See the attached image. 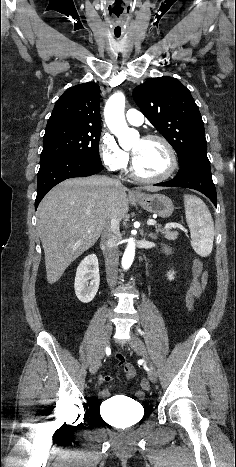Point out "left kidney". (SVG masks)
Returning <instances> with one entry per match:
<instances>
[{"mask_svg":"<svg viewBox=\"0 0 236 467\" xmlns=\"http://www.w3.org/2000/svg\"><path fill=\"white\" fill-rule=\"evenodd\" d=\"M174 274H175L174 271L168 272V274H167L168 279L173 280L174 279Z\"/></svg>","mask_w":236,"mask_h":467,"instance_id":"5707ae66","label":"left kidney"}]
</instances>
